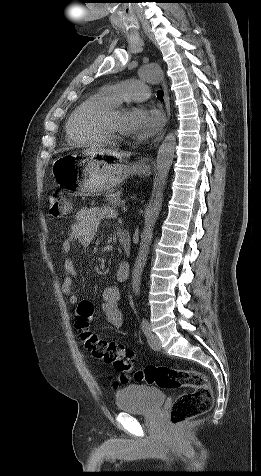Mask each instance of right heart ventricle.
Returning a JSON list of instances; mask_svg holds the SVG:
<instances>
[{
	"label": "right heart ventricle",
	"instance_id": "obj_1",
	"mask_svg": "<svg viewBox=\"0 0 261 476\" xmlns=\"http://www.w3.org/2000/svg\"><path fill=\"white\" fill-rule=\"evenodd\" d=\"M118 103L105 90L98 91L76 106L70 113L65 130L68 141L74 146L105 144L109 138L96 130L93 117L101 110Z\"/></svg>",
	"mask_w": 261,
	"mask_h": 476
}]
</instances>
